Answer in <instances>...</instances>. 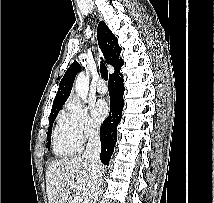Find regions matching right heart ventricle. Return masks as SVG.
I'll use <instances>...</instances> for the list:
<instances>
[{
  "label": "right heart ventricle",
  "mask_w": 214,
  "mask_h": 203,
  "mask_svg": "<svg viewBox=\"0 0 214 203\" xmlns=\"http://www.w3.org/2000/svg\"><path fill=\"white\" fill-rule=\"evenodd\" d=\"M52 144L54 153L59 157L72 156L81 150V146L72 139L60 122L53 132Z\"/></svg>",
  "instance_id": "1"
}]
</instances>
